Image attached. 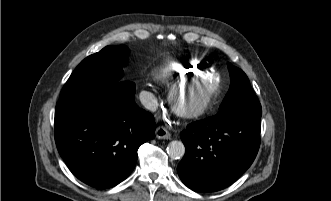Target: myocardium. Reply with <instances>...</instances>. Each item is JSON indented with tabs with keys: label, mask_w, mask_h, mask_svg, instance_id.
Segmentation results:
<instances>
[{
	"label": "myocardium",
	"mask_w": 331,
	"mask_h": 201,
	"mask_svg": "<svg viewBox=\"0 0 331 201\" xmlns=\"http://www.w3.org/2000/svg\"><path fill=\"white\" fill-rule=\"evenodd\" d=\"M203 84L207 87V92L196 104L191 106H181L176 102L175 94L176 92L191 84ZM219 83L212 80L210 76H193L185 82H176L172 84L167 92V99L172 110L179 116L183 118H195L204 114L207 110L211 108L216 99L220 94Z\"/></svg>",
	"instance_id": "obj_1"
}]
</instances>
